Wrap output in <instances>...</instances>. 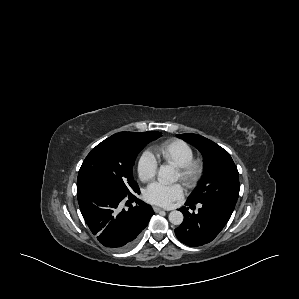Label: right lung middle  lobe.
<instances>
[{
	"label": "right lung middle lobe",
	"mask_w": 299,
	"mask_h": 299,
	"mask_svg": "<svg viewBox=\"0 0 299 299\" xmlns=\"http://www.w3.org/2000/svg\"><path fill=\"white\" fill-rule=\"evenodd\" d=\"M160 136L161 133L155 131L143 132L133 142L124 141L115 134L110 136L85 158L77 184L96 180L124 193L136 192L139 187L132 171L136 156L146 144Z\"/></svg>",
	"instance_id": "right-lung-middle-lobe-1"
}]
</instances>
